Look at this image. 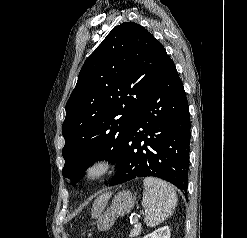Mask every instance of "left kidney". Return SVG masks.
<instances>
[{
    "mask_svg": "<svg viewBox=\"0 0 247 238\" xmlns=\"http://www.w3.org/2000/svg\"><path fill=\"white\" fill-rule=\"evenodd\" d=\"M143 238H170V229L168 226H164L148 235H145Z\"/></svg>",
    "mask_w": 247,
    "mask_h": 238,
    "instance_id": "left-kidney-1",
    "label": "left kidney"
}]
</instances>
